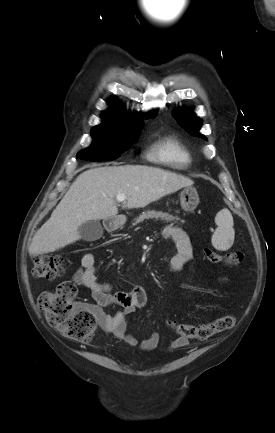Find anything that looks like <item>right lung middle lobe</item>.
Returning <instances> with one entry per match:
<instances>
[{"label":"right lung middle lobe","instance_id":"dd1d6c3e","mask_svg":"<svg viewBox=\"0 0 275 433\" xmlns=\"http://www.w3.org/2000/svg\"><path fill=\"white\" fill-rule=\"evenodd\" d=\"M143 126V123L95 126L92 129V145L78 152L77 158L88 161L115 160L129 149Z\"/></svg>","mask_w":275,"mask_h":433}]
</instances>
